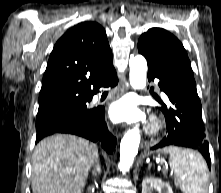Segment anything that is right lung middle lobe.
Wrapping results in <instances>:
<instances>
[{"label":"right lung middle lobe","mask_w":221,"mask_h":193,"mask_svg":"<svg viewBox=\"0 0 221 193\" xmlns=\"http://www.w3.org/2000/svg\"><path fill=\"white\" fill-rule=\"evenodd\" d=\"M91 98H61L39 103L36 119L37 133L89 120L94 109H88Z\"/></svg>","instance_id":"obj_1"}]
</instances>
